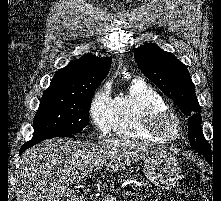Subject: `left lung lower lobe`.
Instances as JSON below:
<instances>
[{
	"label": "left lung lower lobe",
	"instance_id": "obj_1",
	"mask_svg": "<svg viewBox=\"0 0 221 201\" xmlns=\"http://www.w3.org/2000/svg\"><path fill=\"white\" fill-rule=\"evenodd\" d=\"M206 159H207L209 164H212V157L209 156V157H206Z\"/></svg>",
	"mask_w": 221,
	"mask_h": 201
}]
</instances>
